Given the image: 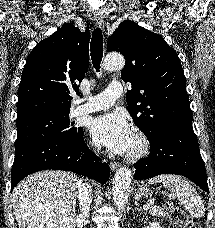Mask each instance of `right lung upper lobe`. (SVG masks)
<instances>
[{
  "label": "right lung upper lobe",
  "mask_w": 215,
  "mask_h": 228,
  "mask_svg": "<svg viewBox=\"0 0 215 228\" xmlns=\"http://www.w3.org/2000/svg\"><path fill=\"white\" fill-rule=\"evenodd\" d=\"M89 39L88 29L68 23L36 45L21 75L16 122L70 112V93L88 70Z\"/></svg>",
  "instance_id": "obj_1"
}]
</instances>
